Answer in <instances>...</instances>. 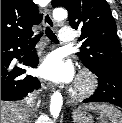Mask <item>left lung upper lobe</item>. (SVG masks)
<instances>
[{
  "mask_svg": "<svg viewBox=\"0 0 122 123\" xmlns=\"http://www.w3.org/2000/svg\"><path fill=\"white\" fill-rule=\"evenodd\" d=\"M53 7H65L69 24L82 31L83 42L76 53L89 70L122 68L121 44L115 20L106 0H52Z\"/></svg>",
  "mask_w": 122,
  "mask_h": 123,
  "instance_id": "left-lung-upper-lobe-1",
  "label": "left lung upper lobe"
}]
</instances>
